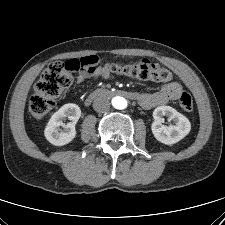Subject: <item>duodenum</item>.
<instances>
[{
  "mask_svg": "<svg viewBox=\"0 0 225 225\" xmlns=\"http://www.w3.org/2000/svg\"><path fill=\"white\" fill-rule=\"evenodd\" d=\"M114 95H120L127 98H138V94L129 92L126 90H108V89H97L94 92H92L85 100V105L89 106L94 100H97L99 98L105 97V96H114Z\"/></svg>",
  "mask_w": 225,
  "mask_h": 225,
  "instance_id": "obj_1",
  "label": "duodenum"
}]
</instances>
